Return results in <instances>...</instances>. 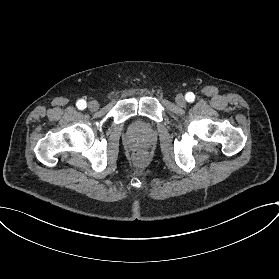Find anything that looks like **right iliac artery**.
Segmentation results:
<instances>
[{"label": "right iliac artery", "mask_w": 279, "mask_h": 279, "mask_svg": "<svg viewBox=\"0 0 279 279\" xmlns=\"http://www.w3.org/2000/svg\"><path fill=\"white\" fill-rule=\"evenodd\" d=\"M76 105H77L78 109H80V110L85 109L86 106H87L86 101L83 100V99L79 100V101L76 103Z\"/></svg>", "instance_id": "right-iliac-artery-1"}]
</instances>
